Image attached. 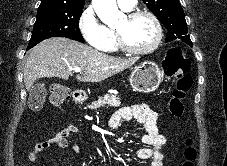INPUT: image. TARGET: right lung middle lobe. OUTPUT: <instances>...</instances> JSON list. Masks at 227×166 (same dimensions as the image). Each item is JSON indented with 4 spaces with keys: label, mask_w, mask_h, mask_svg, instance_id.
Here are the masks:
<instances>
[{
    "label": "right lung middle lobe",
    "mask_w": 227,
    "mask_h": 166,
    "mask_svg": "<svg viewBox=\"0 0 227 166\" xmlns=\"http://www.w3.org/2000/svg\"><path fill=\"white\" fill-rule=\"evenodd\" d=\"M82 10V8L69 7L38 8L37 19L28 46L33 47L51 37H66L84 42L78 26Z\"/></svg>",
    "instance_id": "right-lung-middle-lobe-1"
}]
</instances>
